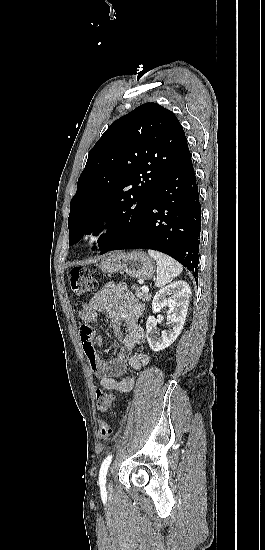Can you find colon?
<instances>
[{"mask_svg":"<svg viewBox=\"0 0 265 550\" xmlns=\"http://www.w3.org/2000/svg\"><path fill=\"white\" fill-rule=\"evenodd\" d=\"M69 284L71 292L76 296H82L93 293L98 287V281L92 272L85 268H74L69 274ZM96 403L102 412H108L115 400V396L106 393L99 388L95 390ZM98 434L104 440L110 439L112 429L105 421L99 422Z\"/></svg>","mask_w":265,"mask_h":550,"instance_id":"5ec220e1","label":"colon"}]
</instances>
